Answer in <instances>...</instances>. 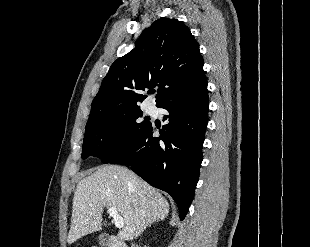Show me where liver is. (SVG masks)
I'll return each instance as SVG.
<instances>
[{"label":"liver","instance_id":"6515ba94","mask_svg":"<svg viewBox=\"0 0 310 247\" xmlns=\"http://www.w3.org/2000/svg\"><path fill=\"white\" fill-rule=\"evenodd\" d=\"M115 207L124 226L117 237L137 238L153 222L164 220L169 203L155 188L125 167H98L77 184L67 242L101 230L104 208Z\"/></svg>","mask_w":310,"mask_h":247}]
</instances>
